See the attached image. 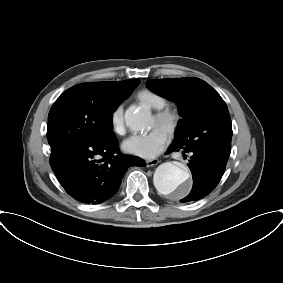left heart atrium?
<instances>
[{"label":"left heart atrium","instance_id":"obj_1","mask_svg":"<svg viewBox=\"0 0 283 283\" xmlns=\"http://www.w3.org/2000/svg\"><path fill=\"white\" fill-rule=\"evenodd\" d=\"M167 143L166 133L154 128L151 132L141 135H133L123 143L125 152L144 159L157 156Z\"/></svg>","mask_w":283,"mask_h":283}]
</instances>
